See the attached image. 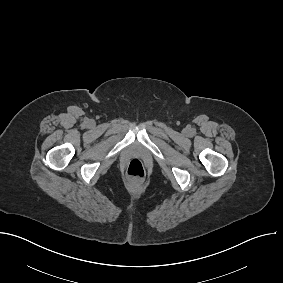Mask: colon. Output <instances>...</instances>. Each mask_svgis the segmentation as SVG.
<instances>
[{
  "instance_id": "obj_1",
  "label": "colon",
  "mask_w": 283,
  "mask_h": 283,
  "mask_svg": "<svg viewBox=\"0 0 283 283\" xmlns=\"http://www.w3.org/2000/svg\"><path fill=\"white\" fill-rule=\"evenodd\" d=\"M127 175L133 179L143 178L145 175L143 163L138 159L131 160L127 167Z\"/></svg>"
}]
</instances>
